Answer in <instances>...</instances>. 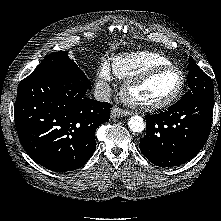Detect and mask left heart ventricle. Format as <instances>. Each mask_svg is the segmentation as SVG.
I'll return each mask as SVG.
<instances>
[{
  "instance_id": "left-heart-ventricle-1",
  "label": "left heart ventricle",
  "mask_w": 221,
  "mask_h": 221,
  "mask_svg": "<svg viewBox=\"0 0 221 221\" xmlns=\"http://www.w3.org/2000/svg\"><path fill=\"white\" fill-rule=\"evenodd\" d=\"M181 76L177 71H165L154 75L130 91L137 102H156L166 99L178 88Z\"/></svg>"
}]
</instances>
